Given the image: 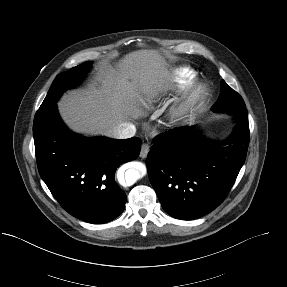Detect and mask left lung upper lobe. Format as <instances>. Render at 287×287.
I'll list each match as a JSON object with an SVG mask.
<instances>
[{
	"label": "left lung upper lobe",
	"instance_id": "5c2ea615",
	"mask_svg": "<svg viewBox=\"0 0 287 287\" xmlns=\"http://www.w3.org/2000/svg\"><path fill=\"white\" fill-rule=\"evenodd\" d=\"M212 110L215 112H228L234 116L243 115L248 117L242 97L229 87L224 80L221 81V94L218 101L212 106Z\"/></svg>",
	"mask_w": 287,
	"mask_h": 287
}]
</instances>
